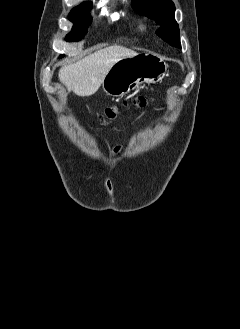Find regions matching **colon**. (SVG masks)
Wrapping results in <instances>:
<instances>
[{"label":"colon","instance_id":"5ec220e1","mask_svg":"<svg viewBox=\"0 0 240 329\" xmlns=\"http://www.w3.org/2000/svg\"><path fill=\"white\" fill-rule=\"evenodd\" d=\"M133 104L137 107H144L146 105V99L142 96L136 97L133 101ZM117 109L114 107L107 108L102 114V119H112L116 116Z\"/></svg>","mask_w":240,"mask_h":329}]
</instances>
